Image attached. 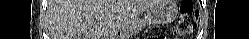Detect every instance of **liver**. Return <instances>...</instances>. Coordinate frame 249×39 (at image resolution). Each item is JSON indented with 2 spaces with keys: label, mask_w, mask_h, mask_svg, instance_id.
<instances>
[{
  "label": "liver",
  "mask_w": 249,
  "mask_h": 39,
  "mask_svg": "<svg viewBox=\"0 0 249 39\" xmlns=\"http://www.w3.org/2000/svg\"><path fill=\"white\" fill-rule=\"evenodd\" d=\"M157 0H54L52 39H115ZM96 21V24L94 22Z\"/></svg>",
  "instance_id": "liver-1"
}]
</instances>
